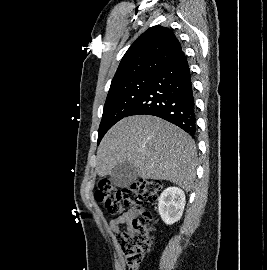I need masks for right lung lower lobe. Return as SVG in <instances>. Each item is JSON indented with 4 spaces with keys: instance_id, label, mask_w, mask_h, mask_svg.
I'll return each instance as SVG.
<instances>
[{
    "instance_id": "right-lung-lower-lobe-1",
    "label": "right lung lower lobe",
    "mask_w": 267,
    "mask_h": 270,
    "mask_svg": "<svg viewBox=\"0 0 267 270\" xmlns=\"http://www.w3.org/2000/svg\"><path fill=\"white\" fill-rule=\"evenodd\" d=\"M141 114L163 118L195 136L196 108L191 73L182 50L154 75L144 95L126 117Z\"/></svg>"
}]
</instances>
